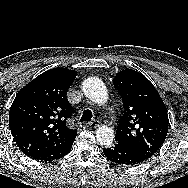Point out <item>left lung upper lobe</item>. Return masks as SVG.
I'll use <instances>...</instances> for the list:
<instances>
[{
	"mask_svg": "<svg viewBox=\"0 0 188 188\" xmlns=\"http://www.w3.org/2000/svg\"><path fill=\"white\" fill-rule=\"evenodd\" d=\"M114 84L124 106V114L117 123L116 143L154 155L168 132V114L163 100L152 83L132 69L120 71Z\"/></svg>",
	"mask_w": 188,
	"mask_h": 188,
	"instance_id": "1",
	"label": "left lung upper lobe"
}]
</instances>
